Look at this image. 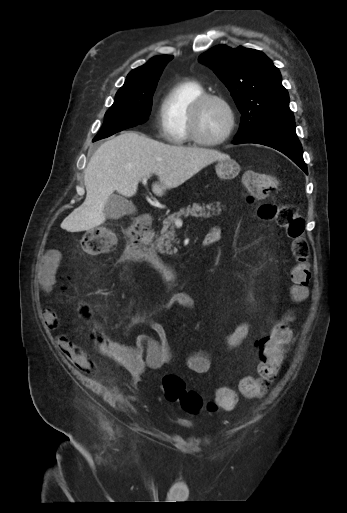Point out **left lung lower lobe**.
Segmentation results:
<instances>
[{
    "label": "left lung lower lobe",
    "instance_id": "left-lung-lower-lobe-1",
    "mask_svg": "<svg viewBox=\"0 0 347 513\" xmlns=\"http://www.w3.org/2000/svg\"><path fill=\"white\" fill-rule=\"evenodd\" d=\"M256 143L272 147L294 161L306 174L302 146L295 132V122L284 121L264 125L256 131L234 139L233 144Z\"/></svg>",
    "mask_w": 347,
    "mask_h": 513
}]
</instances>
